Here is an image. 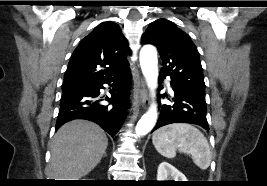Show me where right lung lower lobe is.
Listing matches in <instances>:
<instances>
[{"mask_svg":"<svg viewBox=\"0 0 267 186\" xmlns=\"http://www.w3.org/2000/svg\"><path fill=\"white\" fill-rule=\"evenodd\" d=\"M129 65L104 78L81 81L62 86L63 94L57 117L56 129L74 119H87L100 125L112 137L121 128L128 108L127 84ZM109 84L111 97L105 100L112 105L101 104L100 89Z\"/></svg>","mask_w":267,"mask_h":186,"instance_id":"right-lung-lower-lobe-1","label":"right lung lower lobe"}]
</instances>
